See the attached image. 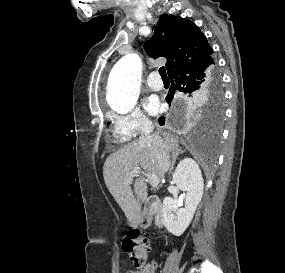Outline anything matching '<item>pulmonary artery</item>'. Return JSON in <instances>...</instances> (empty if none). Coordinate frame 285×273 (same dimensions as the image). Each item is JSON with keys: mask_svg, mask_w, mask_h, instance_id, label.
<instances>
[{"mask_svg": "<svg viewBox=\"0 0 285 273\" xmlns=\"http://www.w3.org/2000/svg\"><path fill=\"white\" fill-rule=\"evenodd\" d=\"M146 84L151 90L154 91H159L163 88V82L159 78V74L156 71L148 75Z\"/></svg>", "mask_w": 285, "mask_h": 273, "instance_id": "e3ab8cb5", "label": "pulmonary artery"}]
</instances>
